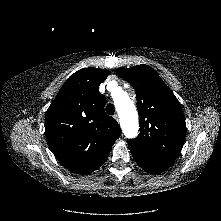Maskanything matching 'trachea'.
<instances>
[{"instance_id": "trachea-1", "label": "trachea", "mask_w": 221, "mask_h": 221, "mask_svg": "<svg viewBox=\"0 0 221 221\" xmlns=\"http://www.w3.org/2000/svg\"><path fill=\"white\" fill-rule=\"evenodd\" d=\"M106 112H107V114H109V115H114V113H115L114 105L111 104V103L107 104V106H106Z\"/></svg>"}]
</instances>
